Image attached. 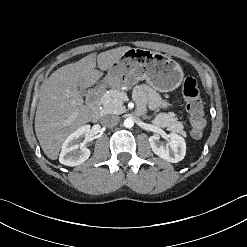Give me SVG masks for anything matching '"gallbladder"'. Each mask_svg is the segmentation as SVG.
Instances as JSON below:
<instances>
[{
	"label": "gallbladder",
	"instance_id": "gallbladder-1",
	"mask_svg": "<svg viewBox=\"0 0 247 247\" xmlns=\"http://www.w3.org/2000/svg\"><path fill=\"white\" fill-rule=\"evenodd\" d=\"M79 91L82 96H85L87 94V91L85 89L81 88Z\"/></svg>",
	"mask_w": 247,
	"mask_h": 247
}]
</instances>
